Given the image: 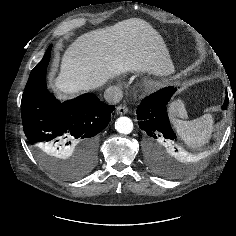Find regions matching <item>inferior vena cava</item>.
<instances>
[{
	"label": "inferior vena cava",
	"instance_id": "inferior-vena-cava-1",
	"mask_svg": "<svg viewBox=\"0 0 236 236\" xmlns=\"http://www.w3.org/2000/svg\"><path fill=\"white\" fill-rule=\"evenodd\" d=\"M123 92L118 86H110L104 92V98L108 103L116 104L121 101Z\"/></svg>",
	"mask_w": 236,
	"mask_h": 236
}]
</instances>
